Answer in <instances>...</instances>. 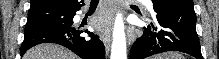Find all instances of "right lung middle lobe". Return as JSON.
<instances>
[{"label":"right lung middle lobe","instance_id":"1","mask_svg":"<svg viewBox=\"0 0 219 59\" xmlns=\"http://www.w3.org/2000/svg\"><path fill=\"white\" fill-rule=\"evenodd\" d=\"M66 18L67 11L65 9L53 8L31 11L28 14L24 32L26 33L47 26L60 25Z\"/></svg>","mask_w":219,"mask_h":59}]
</instances>
